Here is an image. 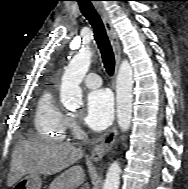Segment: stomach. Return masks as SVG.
Returning a JSON list of instances; mask_svg holds the SVG:
<instances>
[{"label":"stomach","mask_w":188,"mask_h":189,"mask_svg":"<svg viewBox=\"0 0 188 189\" xmlns=\"http://www.w3.org/2000/svg\"><path fill=\"white\" fill-rule=\"evenodd\" d=\"M42 178L40 175L28 174L18 180L13 189H41Z\"/></svg>","instance_id":"1"}]
</instances>
